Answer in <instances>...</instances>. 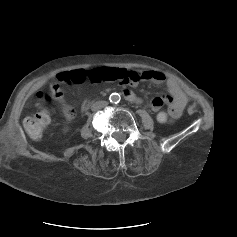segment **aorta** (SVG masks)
<instances>
[{
  "instance_id": "1",
  "label": "aorta",
  "mask_w": 237,
  "mask_h": 237,
  "mask_svg": "<svg viewBox=\"0 0 237 237\" xmlns=\"http://www.w3.org/2000/svg\"><path fill=\"white\" fill-rule=\"evenodd\" d=\"M111 103L117 104L121 100V96L119 93H112L109 97Z\"/></svg>"
}]
</instances>
